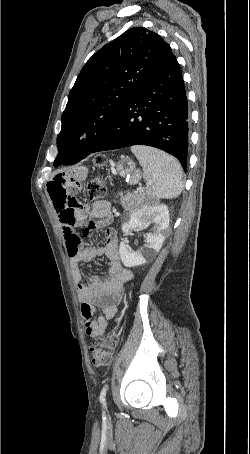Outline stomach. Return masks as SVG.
Instances as JSON below:
<instances>
[{
    "label": "stomach",
    "instance_id": "obj_1",
    "mask_svg": "<svg viewBox=\"0 0 250 454\" xmlns=\"http://www.w3.org/2000/svg\"><path fill=\"white\" fill-rule=\"evenodd\" d=\"M115 172L123 177H127L131 184L137 183L141 177L140 172L135 169V164L128 158L116 163Z\"/></svg>",
    "mask_w": 250,
    "mask_h": 454
}]
</instances>
